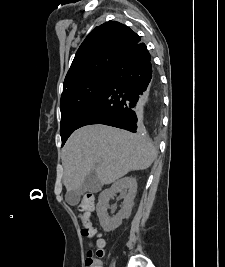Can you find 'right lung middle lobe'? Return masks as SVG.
Masks as SVG:
<instances>
[{
    "label": "right lung middle lobe",
    "mask_w": 225,
    "mask_h": 267,
    "mask_svg": "<svg viewBox=\"0 0 225 267\" xmlns=\"http://www.w3.org/2000/svg\"><path fill=\"white\" fill-rule=\"evenodd\" d=\"M109 76L110 73L87 78L64 89L60 103L62 145L94 104Z\"/></svg>",
    "instance_id": "dd1d6c3e"
}]
</instances>
